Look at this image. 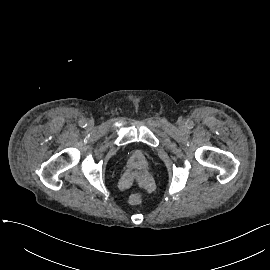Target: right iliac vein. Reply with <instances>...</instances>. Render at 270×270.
I'll list each match as a JSON object with an SVG mask.
<instances>
[{"label":"right iliac vein","instance_id":"1","mask_svg":"<svg viewBox=\"0 0 270 270\" xmlns=\"http://www.w3.org/2000/svg\"><path fill=\"white\" fill-rule=\"evenodd\" d=\"M89 126H92V124H91V123H89Z\"/></svg>","mask_w":270,"mask_h":270}]
</instances>
